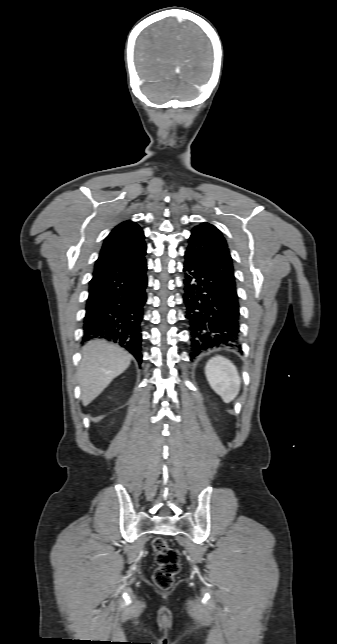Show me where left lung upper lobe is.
Masks as SVG:
<instances>
[{
    "instance_id": "5c2ea615",
    "label": "left lung upper lobe",
    "mask_w": 337,
    "mask_h": 644,
    "mask_svg": "<svg viewBox=\"0 0 337 644\" xmlns=\"http://www.w3.org/2000/svg\"><path fill=\"white\" fill-rule=\"evenodd\" d=\"M185 253L209 263L236 288L232 258L226 240L215 226L204 222L194 227Z\"/></svg>"
}]
</instances>
